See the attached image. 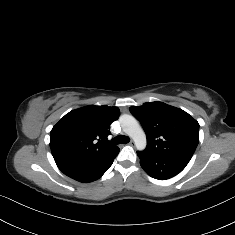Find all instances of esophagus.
<instances>
[{"label":"esophagus","mask_w":235,"mask_h":235,"mask_svg":"<svg viewBox=\"0 0 235 235\" xmlns=\"http://www.w3.org/2000/svg\"><path fill=\"white\" fill-rule=\"evenodd\" d=\"M128 144H129L130 146H134V145H135V143H134L133 140H131Z\"/></svg>","instance_id":"1"}]
</instances>
